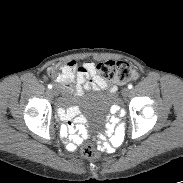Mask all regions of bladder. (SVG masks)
<instances>
[{
  "label": "bladder",
  "instance_id": "obj_1",
  "mask_svg": "<svg viewBox=\"0 0 183 183\" xmlns=\"http://www.w3.org/2000/svg\"><path fill=\"white\" fill-rule=\"evenodd\" d=\"M115 102V95L104 87H95L79 96L81 109L89 116L106 114Z\"/></svg>",
  "mask_w": 183,
  "mask_h": 183
}]
</instances>
